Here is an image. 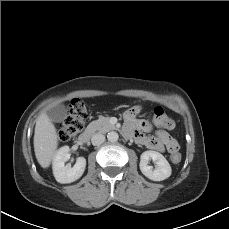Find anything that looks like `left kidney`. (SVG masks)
<instances>
[{"mask_svg":"<svg viewBox=\"0 0 229 229\" xmlns=\"http://www.w3.org/2000/svg\"><path fill=\"white\" fill-rule=\"evenodd\" d=\"M140 170L147 178L153 181H162L170 177L172 170L166 158L156 151H145L141 154ZM156 162V167L153 169L148 165L149 160Z\"/></svg>","mask_w":229,"mask_h":229,"instance_id":"obj_1","label":"left kidney"}]
</instances>
